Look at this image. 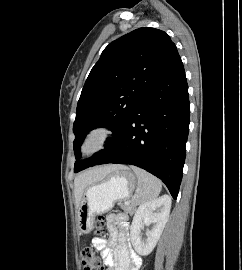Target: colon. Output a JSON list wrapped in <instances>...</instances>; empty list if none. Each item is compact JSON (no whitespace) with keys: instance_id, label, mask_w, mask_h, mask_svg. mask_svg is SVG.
Instances as JSON below:
<instances>
[{"instance_id":"colon-1","label":"colon","mask_w":242,"mask_h":270,"mask_svg":"<svg viewBox=\"0 0 242 270\" xmlns=\"http://www.w3.org/2000/svg\"><path fill=\"white\" fill-rule=\"evenodd\" d=\"M94 232L97 236H102L105 234L106 229L103 217H99L96 220ZM82 259L85 270H104L100 263L99 257L93 248L85 247L82 250Z\"/></svg>"}]
</instances>
